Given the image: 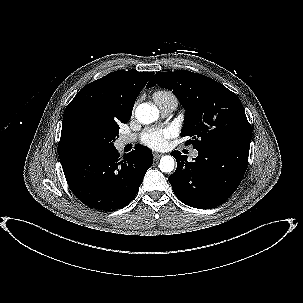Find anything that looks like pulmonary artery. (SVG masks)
<instances>
[{
	"label": "pulmonary artery",
	"instance_id": "pulmonary-artery-1",
	"mask_svg": "<svg viewBox=\"0 0 303 303\" xmlns=\"http://www.w3.org/2000/svg\"><path fill=\"white\" fill-rule=\"evenodd\" d=\"M160 111L162 113V115L164 116H168L170 115L173 110L176 108V104L175 103H166L161 105L160 107ZM136 139V136L134 134H130V135H121L118 139V142L121 146H124L128 143H132L134 142ZM192 157H197L198 156V151H193L191 153Z\"/></svg>",
	"mask_w": 303,
	"mask_h": 303
}]
</instances>
